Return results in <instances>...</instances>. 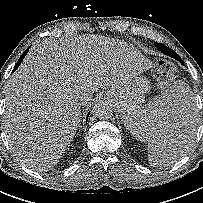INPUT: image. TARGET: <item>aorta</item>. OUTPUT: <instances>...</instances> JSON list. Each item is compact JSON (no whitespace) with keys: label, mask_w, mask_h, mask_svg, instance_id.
<instances>
[{"label":"aorta","mask_w":203,"mask_h":203,"mask_svg":"<svg viewBox=\"0 0 203 203\" xmlns=\"http://www.w3.org/2000/svg\"><path fill=\"white\" fill-rule=\"evenodd\" d=\"M93 112L100 119H108L112 116V105L107 101H100L95 104Z\"/></svg>","instance_id":"1"}]
</instances>
